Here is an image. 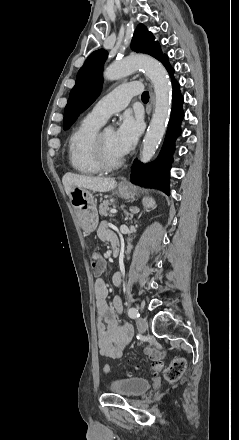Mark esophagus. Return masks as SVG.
<instances>
[{
  "label": "esophagus",
  "instance_id": "1",
  "mask_svg": "<svg viewBox=\"0 0 239 440\" xmlns=\"http://www.w3.org/2000/svg\"><path fill=\"white\" fill-rule=\"evenodd\" d=\"M154 92H153V90L151 89V104H152V106L154 105ZM129 182H128V180H126V178H122L121 180H120V184H123V185H127Z\"/></svg>",
  "mask_w": 239,
  "mask_h": 440
}]
</instances>
